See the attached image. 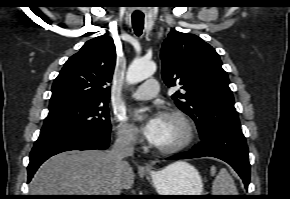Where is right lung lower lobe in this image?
<instances>
[{
    "label": "right lung lower lobe",
    "mask_w": 290,
    "mask_h": 199,
    "mask_svg": "<svg viewBox=\"0 0 290 199\" xmlns=\"http://www.w3.org/2000/svg\"><path fill=\"white\" fill-rule=\"evenodd\" d=\"M109 141L110 132L93 131L38 138L30 153L28 182L38 167L51 156L70 150L106 149Z\"/></svg>",
    "instance_id": "98d812e1"
}]
</instances>
